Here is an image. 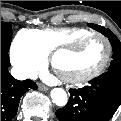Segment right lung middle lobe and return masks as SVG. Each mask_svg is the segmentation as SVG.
Segmentation results:
<instances>
[{
    "label": "right lung middle lobe",
    "mask_w": 121,
    "mask_h": 121,
    "mask_svg": "<svg viewBox=\"0 0 121 121\" xmlns=\"http://www.w3.org/2000/svg\"><path fill=\"white\" fill-rule=\"evenodd\" d=\"M12 36V26L1 22V51L8 52Z\"/></svg>",
    "instance_id": "right-lung-middle-lobe-1"
}]
</instances>
